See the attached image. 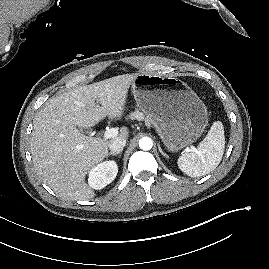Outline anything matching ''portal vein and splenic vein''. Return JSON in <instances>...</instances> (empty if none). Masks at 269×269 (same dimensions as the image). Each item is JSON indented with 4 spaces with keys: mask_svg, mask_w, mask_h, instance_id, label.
Masks as SVG:
<instances>
[{
    "mask_svg": "<svg viewBox=\"0 0 269 269\" xmlns=\"http://www.w3.org/2000/svg\"><path fill=\"white\" fill-rule=\"evenodd\" d=\"M118 135V129L116 128H111V129H107L104 132V138L105 139H110V138H114Z\"/></svg>",
    "mask_w": 269,
    "mask_h": 269,
    "instance_id": "portal-vein-and-splenic-vein-1",
    "label": "portal vein and splenic vein"
}]
</instances>
